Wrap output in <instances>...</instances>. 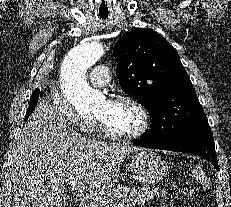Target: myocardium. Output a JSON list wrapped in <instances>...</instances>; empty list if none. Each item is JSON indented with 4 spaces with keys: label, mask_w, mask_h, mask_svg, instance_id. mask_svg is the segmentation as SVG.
Instances as JSON below:
<instances>
[{
    "label": "myocardium",
    "mask_w": 231,
    "mask_h": 207,
    "mask_svg": "<svg viewBox=\"0 0 231 207\" xmlns=\"http://www.w3.org/2000/svg\"><path fill=\"white\" fill-rule=\"evenodd\" d=\"M111 103H126L134 107L141 118V124L137 130L131 133H116L112 131L102 120L98 119L103 135L115 141H132L142 137L150 128V114L147 108L137 99L128 95H116L110 100Z\"/></svg>",
    "instance_id": "myocardium-1"
}]
</instances>
